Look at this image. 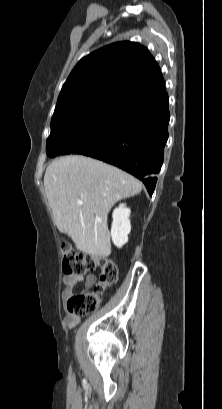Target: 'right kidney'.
Wrapping results in <instances>:
<instances>
[{
    "label": "right kidney",
    "mask_w": 222,
    "mask_h": 409,
    "mask_svg": "<svg viewBox=\"0 0 222 409\" xmlns=\"http://www.w3.org/2000/svg\"><path fill=\"white\" fill-rule=\"evenodd\" d=\"M130 209L125 204H120L113 211V222L111 226V237L113 243L121 248L128 242V234L131 231Z\"/></svg>",
    "instance_id": "right-kidney-1"
}]
</instances>
